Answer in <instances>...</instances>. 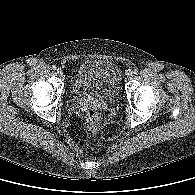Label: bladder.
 Masks as SVG:
<instances>
[{"label": "bladder", "mask_w": 195, "mask_h": 195, "mask_svg": "<svg viewBox=\"0 0 195 195\" xmlns=\"http://www.w3.org/2000/svg\"><path fill=\"white\" fill-rule=\"evenodd\" d=\"M120 91V71L110 60L92 59L82 63L72 84V93L80 98L110 100Z\"/></svg>", "instance_id": "1"}]
</instances>
